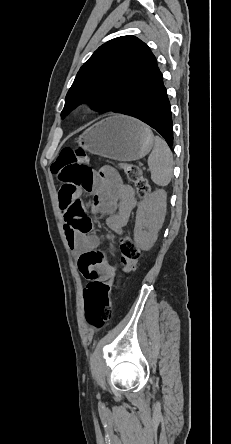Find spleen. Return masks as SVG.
<instances>
[{
	"mask_svg": "<svg viewBox=\"0 0 231 444\" xmlns=\"http://www.w3.org/2000/svg\"><path fill=\"white\" fill-rule=\"evenodd\" d=\"M151 180L158 186H166L173 173V155L165 140L154 137V148L148 157Z\"/></svg>",
	"mask_w": 231,
	"mask_h": 444,
	"instance_id": "obj_1",
	"label": "spleen"
}]
</instances>
